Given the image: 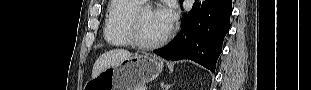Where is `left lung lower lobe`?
<instances>
[{
	"instance_id": "obj_1",
	"label": "left lung lower lobe",
	"mask_w": 311,
	"mask_h": 90,
	"mask_svg": "<svg viewBox=\"0 0 311 90\" xmlns=\"http://www.w3.org/2000/svg\"><path fill=\"white\" fill-rule=\"evenodd\" d=\"M231 3L232 0H206L201 8L194 4L188 15H182L177 38L154 53L172 61L191 59L215 72L223 39L230 28Z\"/></svg>"
}]
</instances>
